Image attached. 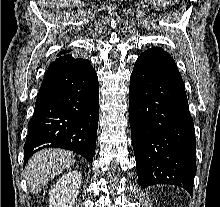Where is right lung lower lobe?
I'll return each instance as SVG.
<instances>
[{"label":"right lung lower lobe","instance_id":"right-lung-lower-lobe-1","mask_svg":"<svg viewBox=\"0 0 220 207\" xmlns=\"http://www.w3.org/2000/svg\"><path fill=\"white\" fill-rule=\"evenodd\" d=\"M98 119L99 85L90 61L71 54L58 57L47 70L28 123L24 164L50 147L74 151L92 162Z\"/></svg>","mask_w":220,"mask_h":207}]
</instances>
